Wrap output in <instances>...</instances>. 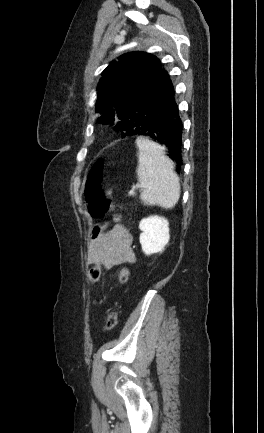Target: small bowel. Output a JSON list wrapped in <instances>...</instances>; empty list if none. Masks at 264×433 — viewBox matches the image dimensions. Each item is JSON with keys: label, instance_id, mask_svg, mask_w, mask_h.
<instances>
[{"label": "small bowel", "instance_id": "obj_1", "mask_svg": "<svg viewBox=\"0 0 264 433\" xmlns=\"http://www.w3.org/2000/svg\"><path fill=\"white\" fill-rule=\"evenodd\" d=\"M134 260L132 235L120 222L119 217L115 218V225L106 232L100 226L93 229L87 254L90 265H103L110 269L121 264L133 263Z\"/></svg>", "mask_w": 264, "mask_h": 433}]
</instances>
